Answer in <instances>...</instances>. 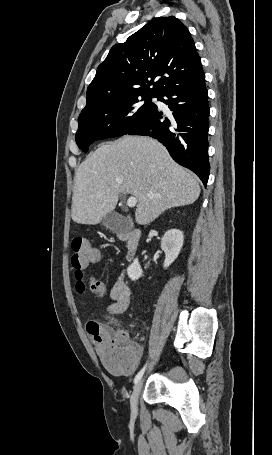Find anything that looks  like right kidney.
I'll list each match as a JSON object with an SVG mask.
<instances>
[{
    "label": "right kidney",
    "mask_w": 272,
    "mask_h": 455,
    "mask_svg": "<svg viewBox=\"0 0 272 455\" xmlns=\"http://www.w3.org/2000/svg\"><path fill=\"white\" fill-rule=\"evenodd\" d=\"M183 232L177 229L168 230L162 240L161 249L165 252L164 268L169 267L178 257L183 246ZM142 269L136 258L133 263L127 268V274L133 281L142 276Z\"/></svg>",
    "instance_id": "1"
}]
</instances>
